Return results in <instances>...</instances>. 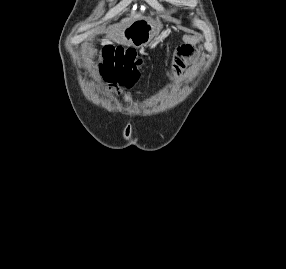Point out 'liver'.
Here are the masks:
<instances>
[{
	"mask_svg": "<svg viewBox=\"0 0 286 269\" xmlns=\"http://www.w3.org/2000/svg\"><path fill=\"white\" fill-rule=\"evenodd\" d=\"M142 18H145L143 17L142 15L138 14V15H135L133 17H130V18H126V19H123L120 23V26L126 28L128 27L132 22L136 21V20H139V19H142Z\"/></svg>",
	"mask_w": 286,
	"mask_h": 269,
	"instance_id": "1",
	"label": "liver"
}]
</instances>
